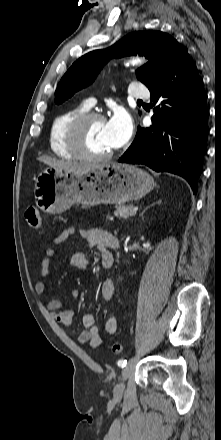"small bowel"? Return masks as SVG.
<instances>
[{"label": "small bowel", "mask_w": 221, "mask_h": 440, "mask_svg": "<svg viewBox=\"0 0 221 440\" xmlns=\"http://www.w3.org/2000/svg\"><path fill=\"white\" fill-rule=\"evenodd\" d=\"M75 228H68L64 230L58 237L53 239L54 244H60L65 241L71 234L75 232ZM80 233L85 241L87 249H97L101 255L102 262L107 258H112V254L108 248H111L112 241L115 240L112 234L101 229H86L80 230ZM55 255L54 248H48L45 251V256L41 261V275L44 279H48L51 274L50 265L51 259ZM70 263L74 268L85 269L88 265L87 255L83 251L75 252L70 259ZM35 291L39 295H43L46 292V286L43 281H39L35 284ZM115 291L114 282L112 279H106L100 288L101 299L108 302L112 299ZM72 297L78 298L79 291L73 290ZM53 318L66 327L72 325L74 310L71 308H64L62 302L59 299H51L47 303ZM82 323L85 330L80 332L78 340L81 343L88 344L91 348L99 347L102 342V336L95 325V316L92 313H86L82 317ZM117 330V319L115 316L110 315L105 322V331L108 334H114Z\"/></svg>", "instance_id": "small-bowel-1"}]
</instances>
